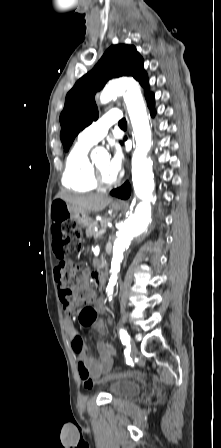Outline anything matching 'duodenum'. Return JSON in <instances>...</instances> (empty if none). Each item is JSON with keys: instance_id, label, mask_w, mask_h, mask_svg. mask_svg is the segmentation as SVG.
Here are the masks:
<instances>
[{"instance_id": "duodenum-1", "label": "duodenum", "mask_w": 221, "mask_h": 448, "mask_svg": "<svg viewBox=\"0 0 221 448\" xmlns=\"http://www.w3.org/2000/svg\"><path fill=\"white\" fill-rule=\"evenodd\" d=\"M93 277H94V280H95L96 287L102 288L105 285L106 277H105L104 269H102L99 272L95 273L93 275Z\"/></svg>"}]
</instances>
